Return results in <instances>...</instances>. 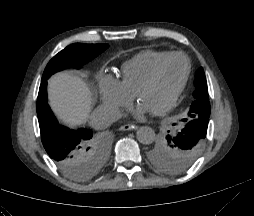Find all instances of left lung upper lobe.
Listing matches in <instances>:
<instances>
[{"mask_svg":"<svg viewBox=\"0 0 254 216\" xmlns=\"http://www.w3.org/2000/svg\"><path fill=\"white\" fill-rule=\"evenodd\" d=\"M195 101L182 119L186 125L176 134L170 133L148 153L149 160L160 170L176 174L186 170L199 155L206 137L210 102L203 68L195 76ZM175 124H173L174 126Z\"/></svg>","mask_w":254,"mask_h":216,"instance_id":"5c2ea615","label":"left lung upper lobe"}]
</instances>
